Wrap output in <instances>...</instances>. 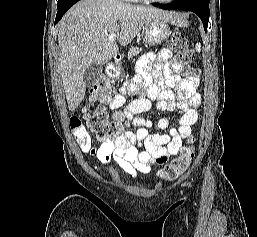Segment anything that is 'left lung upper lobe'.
Masks as SVG:
<instances>
[{
    "label": "left lung upper lobe",
    "instance_id": "5c2ea615",
    "mask_svg": "<svg viewBox=\"0 0 257 237\" xmlns=\"http://www.w3.org/2000/svg\"><path fill=\"white\" fill-rule=\"evenodd\" d=\"M178 2L180 3H186V2H189V1H202V2H209V0H177Z\"/></svg>",
    "mask_w": 257,
    "mask_h": 237
}]
</instances>
